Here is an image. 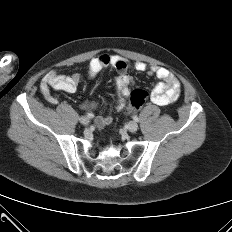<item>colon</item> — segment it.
I'll return each instance as SVG.
<instances>
[{
    "label": "colon",
    "mask_w": 232,
    "mask_h": 232,
    "mask_svg": "<svg viewBox=\"0 0 232 232\" xmlns=\"http://www.w3.org/2000/svg\"><path fill=\"white\" fill-rule=\"evenodd\" d=\"M148 93L143 89H135L131 92L130 101L123 109V115H129L133 109H139L147 100ZM122 121L121 119L119 120Z\"/></svg>",
    "instance_id": "colon-1"
}]
</instances>
